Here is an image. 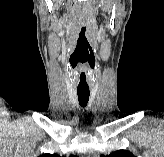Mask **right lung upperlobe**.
<instances>
[{"label": "right lung upper lobe", "mask_w": 164, "mask_h": 157, "mask_svg": "<svg viewBox=\"0 0 164 157\" xmlns=\"http://www.w3.org/2000/svg\"><path fill=\"white\" fill-rule=\"evenodd\" d=\"M39 157H65V156H60V155H57V154H43V155H41ZM69 157H77V156L71 155Z\"/></svg>", "instance_id": "1"}]
</instances>
